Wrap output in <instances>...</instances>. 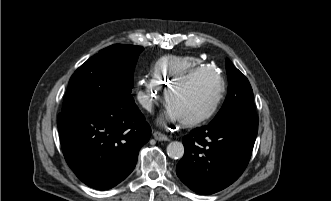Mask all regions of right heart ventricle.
Returning a JSON list of instances; mask_svg holds the SVG:
<instances>
[{
	"label": "right heart ventricle",
	"instance_id": "1",
	"mask_svg": "<svg viewBox=\"0 0 331 201\" xmlns=\"http://www.w3.org/2000/svg\"><path fill=\"white\" fill-rule=\"evenodd\" d=\"M206 66L199 58L192 56H168L159 59L152 68V79L169 88L177 79L193 69Z\"/></svg>",
	"mask_w": 331,
	"mask_h": 201
}]
</instances>
